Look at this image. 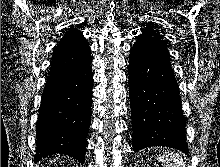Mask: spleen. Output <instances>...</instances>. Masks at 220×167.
I'll return each mask as SVG.
<instances>
[{
    "instance_id": "obj_1",
    "label": "spleen",
    "mask_w": 220,
    "mask_h": 167,
    "mask_svg": "<svg viewBox=\"0 0 220 167\" xmlns=\"http://www.w3.org/2000/svg\"><path fill=\"white\" fill-rule=\"evenodd\" d=\"M159 160L163 167H186L182 157L173 152H168L159 156Z\"/></svg>"
}]
</instances>
